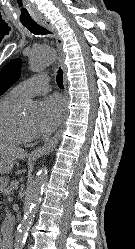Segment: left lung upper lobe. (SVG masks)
Returning <instances> with one entry per match:
<instances>
[{
  "label": "left lung upper lobe",
  "mask_w": 135,
  "mask_h": 249,
  "mask_svg": "<svg viewBox=\"0 0 135 249\" xmlns=\"http://www.w3.org/2000/svg\"><path fill=\"white\" fill-rule=\"evenodd\" d=\"M21 59H14L0 72V95L12 86L20 76Z\"/></svg>",
  "instance_id": "obj_1"
}]
</instances>
